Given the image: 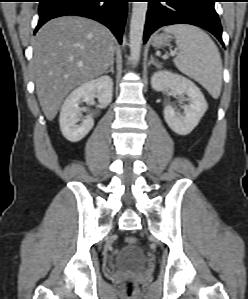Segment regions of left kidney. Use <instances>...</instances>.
Masks as SVG:
<instances>
[{
  "mask_svg": "<svg viewBox=\"0 0 248 299\" xmlns=\"http://www.w3.org/2000/svg\"><path fill=\"white\" fill-rule=\"evenodd\" d=\"M151 86L155 91L170 88L181 98L187 96L188 105H183L184 116L181 117L171 105L164 108V118L172 131L179 135H188L199 123L208 105L200 89L191 80L171 73L159 71L151 77Z\"/></svg>",
  "mask_w": 248,
  "mask_h": 299,
  "instance_id": "1",
  "label": "left kidney"
}]
</instances>
